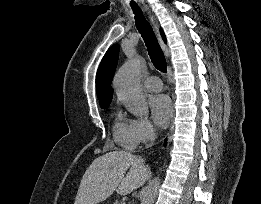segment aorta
Listing matches in <instances>:
<instances>
[{
  "instance_id": "aorta-1",
  "label": "aorta",
  "mask_w": 261,
  "mask_h": 204,
  "mask_svg": "<svg viewBox=\"0 0 261 204\" xmlns=\"http://www.w3.org/2000/svg\"><path fill=\"white\" fill-rule=\"evenodd\" d=\"M144 61L135 57L127 61L114 78L116 93L127 110L138 117L148 116L149 110L145 96L140 87V74ZM160 185L159 177L154 178L146 189L141 204H153Z\"/></svg>"
}]
</instances>
